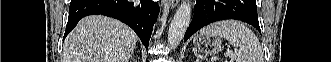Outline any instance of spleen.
Masks as SVG:
<instances>
[{
  "mask_svg": "<svg viewBox=\"0 0 331 62\" xmlns=\"http://www.w3.org/2000/svg\"><path fill=\"white\" fill-rule=\"evenodd\" d=\"M200 35L225 38L234 47H239L236 62H262L263 60L257 37L249 28L238 21L215 22L202 28Z\"/></svg>",
  "mask_w": 331,
  "mask_h": 62,
  "instance_id": "obj_1",
  "label": "spleen"
}]
</instances>
